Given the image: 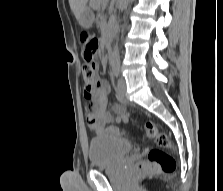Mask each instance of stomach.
Instances as JSON below:
<instances>
[{
	"label": "stomach",
	"mask_w": 223,
	"mask_h": 191,
	"mask_svg": "<svg viewBox=\"0 0 223 191\" xmlns=\"http://www.w3.org/2000/svg\"><path fill=\"white\" fill-rule=\"evenodd\" d=\"M94 14L93 11L90 9V7L86 6V8L83 10L81 17L79 19L80 25L83 27H89L94 22Z\"/></svg>",
	"instance_id": "1"
}]
</instances>
